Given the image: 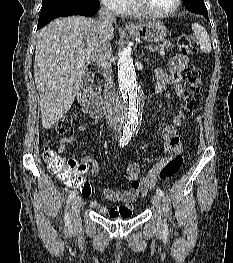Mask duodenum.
Returning <instances> with one entry per match:
<instances>
[{"label": "duodenum", "mask_w": 233, "mask_h": 263, "mask_svg": "<svg viewBox=\"0 0 233 263\" xmlns=\"http://www.w3.org/2000/svg\"><path fill=\"white\" fill-rule=\"evenodd\" d=\"M92 83L93 74H85L78 89L77 100L85 114L93 118H100L104 115V103L107 102V99L102 95V86H99V89H92Z\"/></svg>", "instance_id": "1"}]
</instances>
